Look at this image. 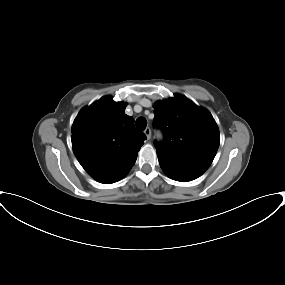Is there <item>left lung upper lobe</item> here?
<instances>
[{
  "label": "left lung upper lobe",
  "instance_id": "5c2ea615",
  "mask_svg": "<svg viewBox=\"0 0 285 285\" xmlns=\"http://www.w3.org/2000/svg\"><path fill=\"white\" fill-rule=\"evenodd\" d=\"M154 113V125L164 133V141L155 143L158 156L206 171L220 142L219 130L210 112L176 94L174 98L157 101Z\"/></svg>",
  "mask_w": 285,
  "mask_h": 285
}]
</instances>
